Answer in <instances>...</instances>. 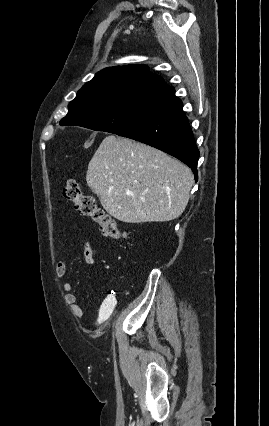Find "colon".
I'll use <instances>...</instances> for the list:
<instances>
[{
  "label": "colon",
  "instance_id": "5ec220e1",
  "mask_svg": "<svg viewBox=\"0 0 269 426\" xmlns=\"http://www.w3.org/2000/svg\"><path fill=\"white\" fill-rule=\"evenodd\" d=\"M64 198L73 203L78 212L98 225L103 236L120 240L125 233L120 230L117 222L101 208L95 197L83 193L80 184L76 180H68L63 188Z\"/></svg>",
  "mask_w": 269,
  "mask_h": 426
}]
</instances>
